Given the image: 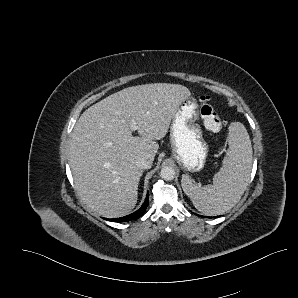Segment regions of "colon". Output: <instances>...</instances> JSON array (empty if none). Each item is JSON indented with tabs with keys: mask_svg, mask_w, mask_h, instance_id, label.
Listing matches in <instances>:
<instances>
[{
	"mask_svg": "<svg viewBox=\"0 0 298 298\" xmlns=\"http://www.w3.org/2000/svg\"><path fill=\"white\" fill-rule=\"evenodd\" d=\"M199 101L200 116L204 126L213 132L220 131L225 126L226 122L219 116L212 104L211 98L208 95H201Z\"/></svg>",
	"mask_w": 298,
	"mask_h": 298,
	"instance_id": "colon-1",
	"label": "colon"
}]
</instances>
